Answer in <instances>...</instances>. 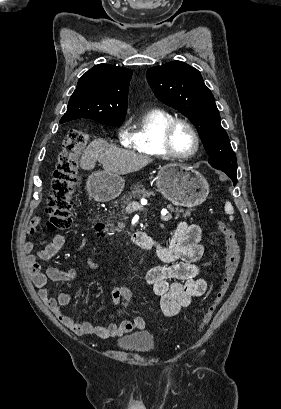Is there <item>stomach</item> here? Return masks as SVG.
I'll return each instance as SVG.
<instances>
[{"mask_svg": "<svg viewBox=\"0 0 281 409\" xmlns=\"http://www.w3.org/2000/svg\"><path fill=\"white\" fill-rule=\"evenodd\" d=\"M125 184L124 178L115 172L97 170L87 180V192L94 200L106 202L120 194ZM156 184L164 198L180 207H198L209 194V184L201 172L184 162H169L160 166Z\"/></svg>", "mask_w": 281, "mask_h": 409, "instance_id": "1", "label": "stomach"}]
</instances>
